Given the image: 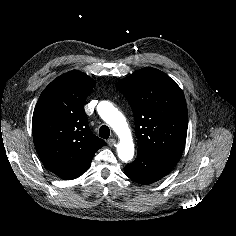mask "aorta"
<instances>
[{
  "label": "aorta",
  "instance_id": "1",
  "mask_svg": "<svg viewBox=\"0 0 236 236\" xmlns=\"http://www.w3.org/2000/svg\"><path fill=\"white\" fill-rule=\"evenodd\" d=\"M97 111L100 117L111 126L120 139L117 145L118 157L124 162L130 161L134 156V143L124 116L108 101L100 102Z\"/></svg>",
  "mask_w": 236,
  "mask_h": 236
}]
</instances>
